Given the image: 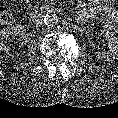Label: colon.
Masks as SVG:
<instances>
[{"label":"colon","instance_id":"obj_1","mask_svg":"<svg viewBox=\"0 0 118 118\" xmlns=\"http://www.w3.org/2000/svg\"><path fill=\"white\" fill-rule=\"evenodd\" d=\"M31 4H35L38 0H26ZM13 20V14L11 10L4 4L0 3V26L8 25Z\"/></svg>","mask_w":118,"mask_h":118}]
</instances>
